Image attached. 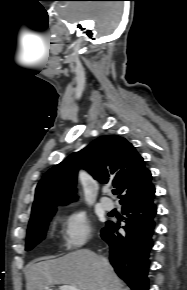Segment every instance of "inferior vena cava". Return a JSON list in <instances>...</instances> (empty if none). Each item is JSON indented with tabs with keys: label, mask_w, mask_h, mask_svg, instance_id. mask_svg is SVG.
Masks as SVG:
<instances>
[{
	"label": "inferior vena cava",
	"mask_w": 187,
	"mask_h": 290,
	"mask_svg": "<svg viewBox=\"0 0 187 290\" xmlns=\"http://www.w3.org/2000/svg\"><path fill=\"white\" fill-rule=\"evenodd\" d=\"M101 259H102V262H103L105 265H108V264H109L107 258H105V257H101Z\"/></svg>",
	"instance_id": "602c4592"
}]
</instances>
